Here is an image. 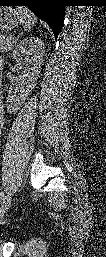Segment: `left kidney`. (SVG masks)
<instances>
[{"label":"left kidney","instance_id":"obj_1","mask_svg":"<svg viewBox=\"0 0 106 257\" xmlns=\"http://www.w3.org/2000/svg\"><path fill=\"white\" fill-rule=\"evenodd\" d=\"M44 43L36 37H28L20 41L13 51V61L16 66L25 63L23 75L21 78L25 81V88L22 93L25 94L34 85L37 76L40 73V68L43 62ZM15 101L19 99L15 96L7 98L8 108L14 109L16 107Z\"/></svg>","mask_w":106,"mask_h":257}]
</instances>
